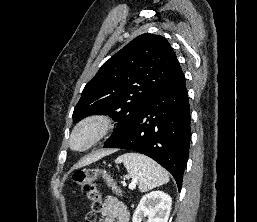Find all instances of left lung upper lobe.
Returning <instances> with one entry per match:
<instances>
[{
    "instance_id": "left-lung-upper-lobe-1",
    "label": "left lung upper lobe",
    "mask_w": 257,
    "mask_h": 222,
    "mask_svg": "<svg viewBox=\"0 0 257 222\" xmlns=\"http://www.w3.org/2000/svg\"><path fill=\"white\" fill-rule=\"evenodd\" d=\"M179 68L164 37L139 35L107 60L86 84L72 117L77 122L92 114L111 116L118 123L106 144L138 116Z\"/></svg>"
}]
</instances>
